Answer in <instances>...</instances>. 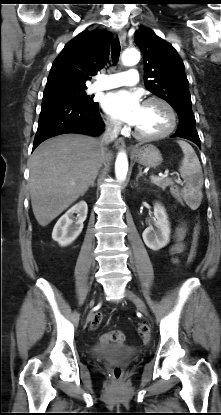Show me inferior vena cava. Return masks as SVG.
Segmentation results:
<instances>
[{"mask_svg":"<svg viewBox=\"0 0 221 415\" xmlns=\"http://www.w3.org/2000/svg\"><path fill=\"white\" fill-rule=\"evenodd\" d=\"M120 131V124L117 122H108L106 124V130L100 138V145L102 152L105 153L106 147L117 138Z\"/></svg>","mask_w":221,"mask_h":415,"instance_id":"obj_1","label":"inferior vena cava"}]
</instances>
